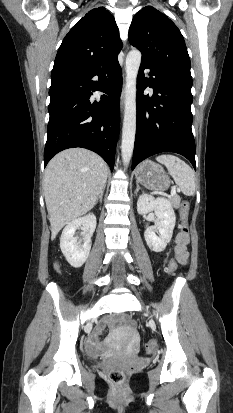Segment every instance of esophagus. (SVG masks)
Here are the masks:
<instances>
[{"label":"esophagus","mask_w":233,"mask_h":413,"mask_svg":"<svg viewBox=\"0 0 233 413\" xmlns=\"http://www.w3.org/2000/svg\"><path fill=\"white\" fill-rule=\"evenodd\" d=\"M124 95H125V91H124V88H123L122 93H121V99H120V102H121V107H123V103H124Z\"/></svg>","instance_id":"34e87169"}]
</instances>
